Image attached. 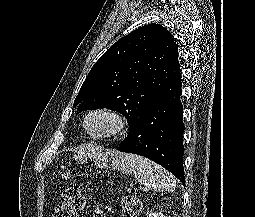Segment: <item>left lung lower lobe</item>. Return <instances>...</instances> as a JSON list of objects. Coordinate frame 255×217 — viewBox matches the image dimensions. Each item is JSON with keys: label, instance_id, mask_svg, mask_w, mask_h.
Returning <instances> with one entry per match:
<instances>
[{"label": "left lung lower lobe", "instance_id": "1", "mask_svg": "<svg viewBox=\"0 0 255 217\" xmlns=\"http://www.w3.org/2000/svg\"><path fill=\"white\" fill-rule=\"evenodd\" d=\"M181 87L179 71L146 107L117 150L158 163L185 185Z\"/></svg>", "mask_w": 255, "mask_h": 217}]
</instances>
